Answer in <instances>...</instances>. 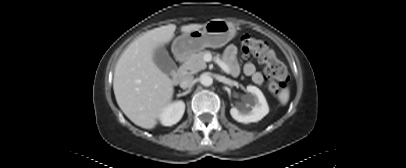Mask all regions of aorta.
Instances as JSON below:
<instances>
[{
  "mask_svg": "<svg viewBox=\"0 0 406 168\" xmlns=\"http://www.w3.org/2000/svg\"><path fill=\"white\" fill-rule=\"evenodd\" d=\"M200 83L204 86H210L213 82L212 78L209 75L202 74L199 78Z\"/></svg>",
  "mask_w": 406,
  "mask_h": 168,
  "instance_id": "762f6f07",
  "label": "aorta"
}]
</instances>
